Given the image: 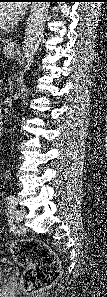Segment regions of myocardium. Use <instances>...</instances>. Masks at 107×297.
<instances>
[{"mask_svg": "<svg viewBox=\"0 0 107 297\" xmlns=\"http://www.w3.org/2000/svg\"><path fill=\"white\" fill-rule=\"evenodd\" d=\"M12 27V23L0 24V33L8 31Z\"/></svg>", "mask_w": 107, "mask_h": 297, "instance_id": "obj_1", "label": "myocardium"}]
</instances>
